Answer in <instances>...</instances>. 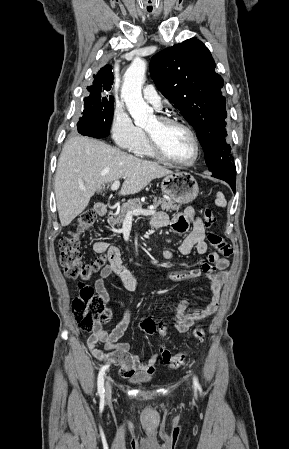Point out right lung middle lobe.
<instances>
[{
  "mask_svg": "<svg viewBox=\"0 0 289 449\" xmlns=\"http://www.w3.org/2000/svg\"><path fill=\"white\" fill-rule=\"evenodd\" d=\"M114 99L103 94L84 98L83 116L77 123L82 135L104 138L109 135L113 119Z\"/></svg>",
  "mask_w": 289,
  "mask_h": 449,
  "instance_id": "right-lung-middle-lobe-1",
  "label": "right lung middle lobe"
}]
</instances>
